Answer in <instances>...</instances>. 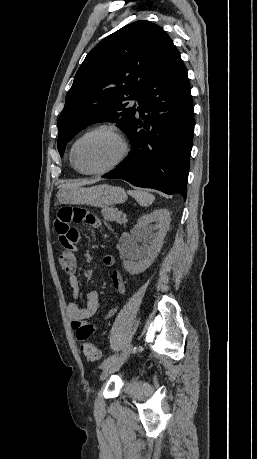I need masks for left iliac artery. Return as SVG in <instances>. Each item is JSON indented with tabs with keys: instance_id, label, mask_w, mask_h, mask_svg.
I'll return each mask as SVG.
<instances>
[{
	"instance_id": "44dca946",
	"label": "left iliac artery",
	"mask_w": 257,
	"mask_h": 459,
	"mask_svg": "<svg viewBox=\"0 0 257 459\" xmlns=\"http://www.w3.org/2000/svg\"><path fill=\"white\" fill-rule=\"evenodd\" d=\"M117 358L116 355H112V356H109L108 358H106L102 364H101V368H105L106 366H108L109 364H111L115 359Z\"/></svg>"
}]
</instances>
